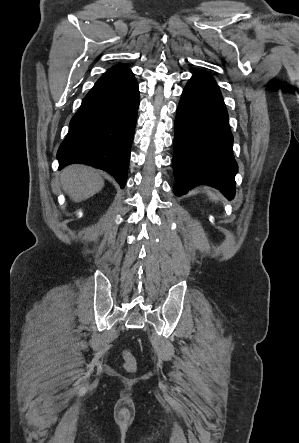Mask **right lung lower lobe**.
I'll return each mask as SVG.
<instances>
[{"label":"right lung lower lobe","mask_w":299,"mask_h":443,"mask_svg":"<svg viewBox=\"0 0 299 443\" xmlns=\"http://www.w3.org/2000/svg\"><path fill=\"white\" fill-rule=\"evenodd\" d=\"M138 106V84L127 66L103 74L71 119L57 152L59 169L90 164L112 174L124 188Z\"/></svg>","instance_id":"1"}]
</instances>
